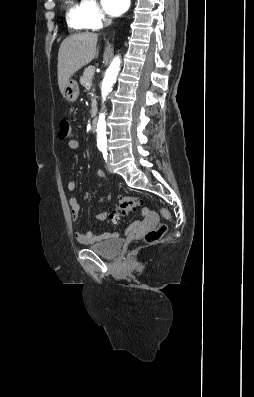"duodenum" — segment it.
Instances as JSON below:
<instances>
[{
	"label": "duodenum",
	"mask_w": 254,
	"mask_h": 397,
	"mask_svg": "<svg viewBox=\"0 0 254 397\" xmlns=\"http://www.w3.org/2000/svg\"><path fill=\"white\" fill-rule=\"evenodd\" d=\"M97 128V115L94 114L92 121H91V129L92 131H95Z\"/></svg>",
	"instance_id": "410a0bca"
}]
</instances>
